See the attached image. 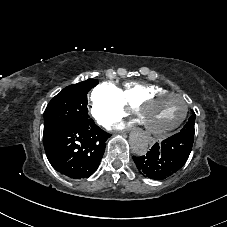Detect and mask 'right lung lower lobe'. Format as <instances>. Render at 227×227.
I'll use <instances>...</instances> for the list:
<instances>
[{"label":"right lung lower lobe","mask_w":227,"mask_h":227,"mask_svg":"<svg viewBox=\"0 0 227 227\" xmlns=\"http://www.w3.org/2000/svg\"><path fill=\"white\" fill-rule=\"evenodd\" d=\"M110 136L93 121L66 125L43 140L53 168L72 179H81L97 170Z\"/></svg>","instance_id":"98d812e1"}]
</instances>
